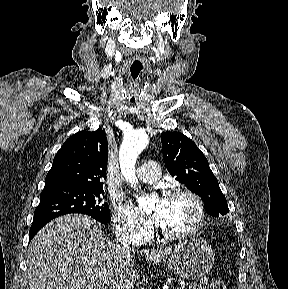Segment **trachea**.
I'll return each mask as SVG.
<instances>
[{
	"mask_svg": "<svg viewBox=\"0 0 288 289\" xmlns=\"http://www.w3.org/2000/svg\"><path fill=\"white\" fill-rule=\"evenodd\" d=\"M144 63L140 58L133 59L128 71L127 97L135 102L139 95V82L144 74Z\"/></svg>",
	"mask_w": 288,
	"mask_h": 289,
	"instance_id": "obj_1",
	"label": "trachea"
}]
</instances>
